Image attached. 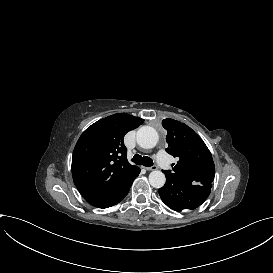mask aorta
<instances>
[{"label":"aorta","mask_w":273,"mask_h":273,"mask_svg":"<svg viewBox=\"0 0 273 273\" xmlns=\"http://www.w3.org/2000/svg\"><path fill=\"white\" fill-rule=\"evenodd\" d=\"M137 143L144 149L154 148L159 140L157 131L150 126H143L137 131ZM149 182L154 188H161L165 185L166 178L163 172L154 170L149 174Z\"/></svg>","instance_id":"1"}]
</instances>
